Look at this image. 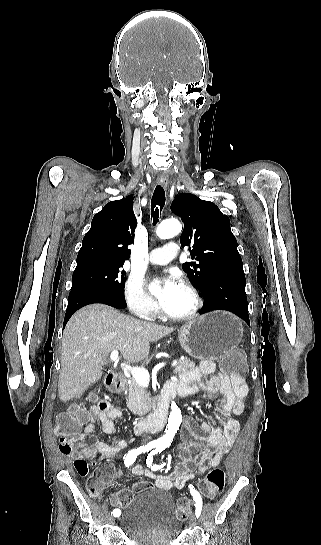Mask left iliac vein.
<instances>
[{"mask_svg":"<svg viewBox=\"0 0 321 545\" xmlns=\"http://www.w3.org/2000/svg\"><path fill=\"white\" fill-rule=\"evenodd\" d=\"M196 522H197L196 516H195V514L193 513V514L190 516V518H189V525H190L191 527H194V526L196 525Z\"/></svg>","mask_w":321,"mask_h":545,"instance_id":"1","label":"left iliac vein"}]
</instances>
